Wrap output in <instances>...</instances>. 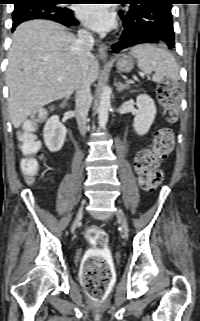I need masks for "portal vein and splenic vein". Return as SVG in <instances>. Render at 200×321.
Segmentation results:
<instances>
[{"mask_svg": "<svg viewBox=\"0 0 200 321\" xmlns=\"http://www.w3.org/2000/svg\"><path fill=\"white\" fill-rule=\"evenodd\" d=\"M58 80L61 81L62 77H58ZM127 83H134V81L133 80H127Z\"/></svg>", "mask_w": 200, "mask_h": 321, "instance_id": "18ae733b", "label": "portal vein and splenic vein"}]
</instances>
